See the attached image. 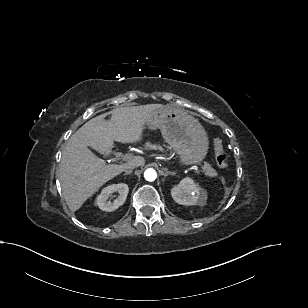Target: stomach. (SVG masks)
Instances as JSON below:
<instances>
[{"mask_svg":"<svg viewBox=\"0 0 308 308\" xmlns=\"http://www.w3.org/2000/svg\"><path fill=\"white\" fill-rule=\"evenodd\" d=\"M144 127L160 129L183 165L200 163L207 154L209 141L206 131L197 119L182 109L160 108L146 118Z\"/></svg>","mask_w":308,"mask_h":308,"instance_id":"0dacf381","label":"stomach"}]
</instances>
